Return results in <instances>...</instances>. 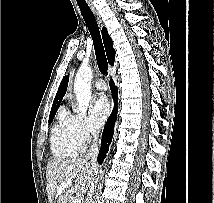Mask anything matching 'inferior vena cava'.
Masks as SVG:
<instances>
[{"label":"inferior vena cava","instance_id":"1","mask_svg":"<svg viewBox=\"0 0 214 203\" xmlns=\"http://www.w3.org/2000/svg\"><path fill=\"white\" fill-rule=\"evenodd\" d=\"M91 132L93 135V143H92L90 150L88 151V153L86 154L84 159H86V160H88L89 158L91 159V164L95 168L94 173L97 174L98 170H97L96 161H97V155H98L97 141H98V136H99V128L94 127L91 129ZM95 183H97V181H95ZM94 187H95V184L93 183L91 188H90V191L88 192L86 203H94L93 199H92V196L94 193Z\"/></svg>","mask_w":214,"mask_h":203}]
</instances>
